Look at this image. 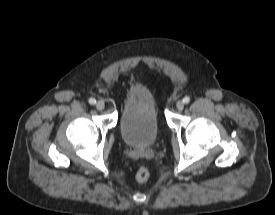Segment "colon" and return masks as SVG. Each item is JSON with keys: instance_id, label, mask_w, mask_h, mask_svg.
Returning <instances> with one entry per match:
<instances>
[{"instance_id": "1", "label": "colon", "mask_w": 275, "mask_h": 215, "mask_svg": "<svg viewBox=\"0 0 275 215\" xmlns=\"http://www.w3.org/2000/svg\"><path fill=\"white\" fill-rule=\"evenodd\" d=\"M136 180L146 182L150 177V172L146 167H139L135 174Z\"/></svg>"}]
</instances>
